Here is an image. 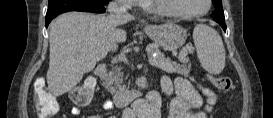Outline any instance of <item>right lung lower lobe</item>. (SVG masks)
Segmentation results:
<instances>
[{"mask_svg":"<svg viewBox=\"0 0 273 118\" xmlns=\"http://www.w3.org/2000/svg\"><path fill=\"white\" fill-rule=\"evenodd\" d=\"M69 11L104 13L105 7L102 4L89 2L86 0H49V6L45 20L46 27L53 18L59 14Z\"/></svg>","mask_w":273,"mask_h":118,"instance_id":"obj_1","label":"right lung lower lobe"}]
</instances>
